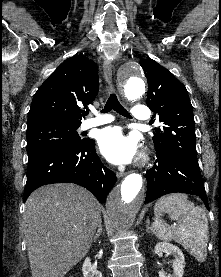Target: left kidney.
Wrapping results in <instances>:
<instances>
[{"mask_svg":"<svg viewBox=\"0 0 221 277\" xmlns=\"http://www.w3.org/2000/svg\"><path fill=\"white\" fill-rule=\"evenodd\" d=\"M154 253L158 255L162 253H167L173 255L174 257V262L172 264L173 273L167 275L164 270H160L158 273L159 277H183L185 259L180 248L168 242H160L156 244L154 248Z\"/></svg>","mask_w":221,"mask_h":277,"instance_id":"5707ae66","label":"left kidney"}]
</instances>
